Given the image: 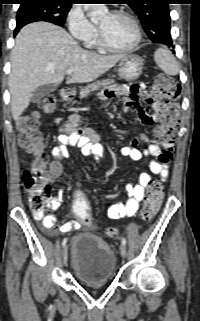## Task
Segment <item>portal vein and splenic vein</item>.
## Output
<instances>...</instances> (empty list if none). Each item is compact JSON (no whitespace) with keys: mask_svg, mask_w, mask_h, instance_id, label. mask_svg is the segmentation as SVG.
<instances>
[{"mask_svg":"<svg viewBox=\"0 0 200 321\" xmlns=\"http://www.w3.org/2000/svg\"><path fill=\"white\" fill-rule=\"evenodd\" d=\"M72 73H73V69H67V70H66V74L70 75V74H72Z\"/></svg>","mask_w":200,"mask_h":321,"instance_id":"obj_1","label":"portal vein and splenic vein"}]
</instances>
